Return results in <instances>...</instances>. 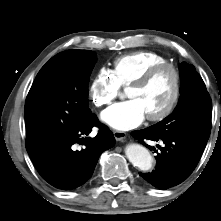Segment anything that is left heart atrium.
<instances>
[{
    "label": "left heart atrium",
    "instance_id": "obj_1",
    "mask_svg": "<svg viewBox=\"0 0 221 221\" xmlns=\"http://www.w3.org/2000/svg\"><path fill=\"white\" fill-rule=\"evenodd\" d=\"M145 117L146 113L137 99L114 104L101 114L103 122L114 129L123 131L136 128Z\"/></svg>",
    "mask_w": 221,
    "mask_h": 221
}]
</instances>
